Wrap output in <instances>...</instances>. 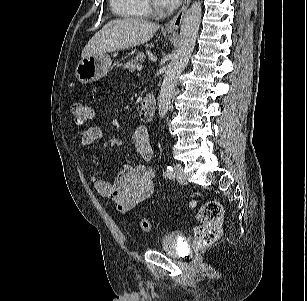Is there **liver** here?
<instances>
[{
    "label": "liver",
    "mask_w": 307,
    "mask_h": 301,
    "mask_svg": "<svg viewBox=\"0 0 307 301\" xmlns=\"http://www.w3.org/2000/svg\"><path fill=\"white\" fill-rule=\"evenodd\" d=\"M160 28L157 23L134 18L108 22L85 45L82 59L135 47L148 42Z\"/></svg>",
    "instance_id": "6515ba94"
}]
</instances>
